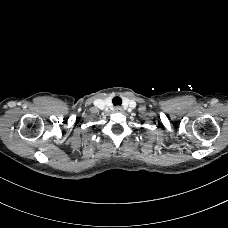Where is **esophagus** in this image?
I'll list each match as a JSON object with an SVG mask.
<instances>
[{"label": "esophagus", "mask_w": 228, "mask_h": 228, "mask_svg": "<svg viewBox=\"0 0 228 228\" xmlns=\"http://www.w3.org/2000/svg\"><path fill=\"white\" fill-rule=\"evenodd\" d=\"M115 111H116V112H122L123 109H122V107H120V106H116V107H115Z\"/></svg>", "instance_id": "34e87169"}]
</instances>
